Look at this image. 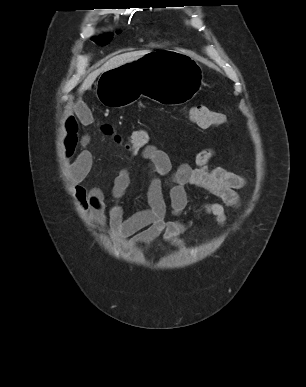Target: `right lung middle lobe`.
Instances as JSON below:
<instances>
[{
  "label": "right lung middle lobe",
  "instance_id": "1",
  "mask_svg": "<svg viewBox=\"0 0 306 387\" xmlns=\"http://www.w3.org/2000/svg\"><path fill=\"white\" fill-rule=\"evenodd\" d=\"M112 40V34H108L102 37L94 38L93 41L97 44L104 46Z\"/></svg>",
  "mask_w": 306,
  "mask_h": 387
}]
</instances>
